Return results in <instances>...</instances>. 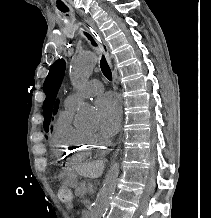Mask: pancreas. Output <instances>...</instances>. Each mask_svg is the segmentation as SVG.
Masks as SVG:
<instances>
[{"instance_id":"obj_1","label":"pancreas","mask_w":211,"mask_h":218,"mask_svg":"<svg viewBox=\"0 0 211 218\" xmlns=\"http://www.w3.org/2000/svg\"><path fill=\"white\" fill-rule=\"evenodd\" d=\"M76 195H87L86 188H82L81 190H76Z\"/></svg>"}]
</instances>
